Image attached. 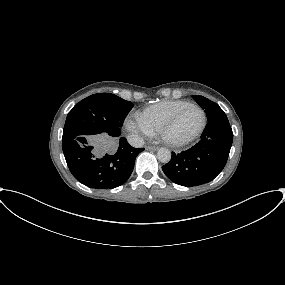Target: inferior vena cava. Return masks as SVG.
<instances>
[{
	"label": "inferior vena cava",
	"mask_w": 285,
	"mask_h": 285,
	"mask_svg": "<svg viewBox=\"0 0 285 285\" xmlns=\"http://www.w3.org/2000/svg\"><path fill=\"white\" fill-rule=\"evenodd\" d=\"M127 141L129 142V144L135 148H140L144 145V140L137 136V135H128L127 136Z\"/></svg>",
	"instance_id": "inferior-vena-cava-1"
}]
</instances>
